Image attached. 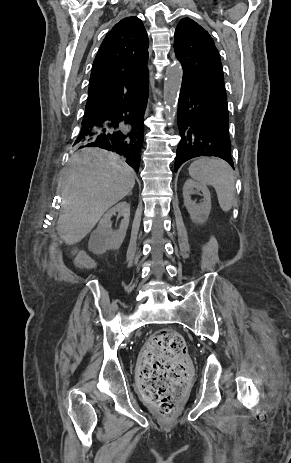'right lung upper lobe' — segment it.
I'll return each instance as SVG.
<instances>
[{
	"mask_svg": "<svg viewBox=\"0 0 291 463\" xmlns=\"http://www.w3.org/2000/svg\"><path fill=\"white\" fill-rule=\"evenodd\" d=\"M148 47L146 30L137 17L121 20L108 32L93 62L86 120L121 106L148 86Z\"/></svg>",
	"mask_w": 291,
	"mask_h": 463,
	"instance_id": "1",
	"label": "right lung upper lobe"
}]
</instances>
